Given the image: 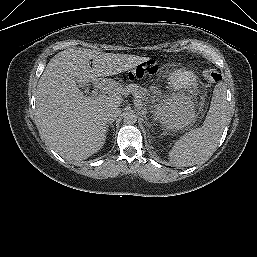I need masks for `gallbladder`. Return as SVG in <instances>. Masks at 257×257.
Here are the masks:
<instances>
[{
	"label": "gallbladder",
	"instance_id": "1",
	"mask_svg": "<svg viewBox=\"0 0 257 257\" xmlns=\"http://www.w3.org/2000/svg\"><path fill=\"white\" fill-rule=\"evenodd\" d=\"M79 85H80L81 87L85 88V84L80 83Z\"/></svg>",
	"mask_w": 257,
	"mask_h": 257
}]
</instances>
